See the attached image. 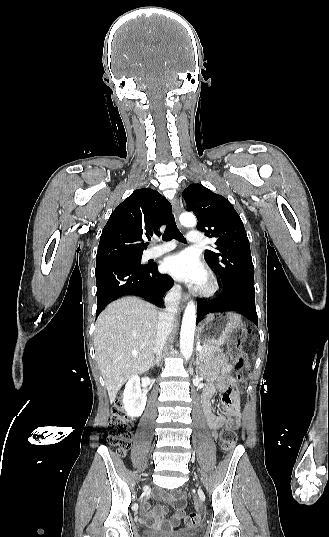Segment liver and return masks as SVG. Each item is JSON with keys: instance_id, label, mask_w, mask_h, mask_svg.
Here are the masks:
<instances>
[{"instance_id": "6515ba94", "label": "liver", "mask_w": 329, "mask_h": 537, "mask_svg": "<svg viewBox=\"0 0 329 537\" xmlns=\"http://www.w3.org/2000/svg\"><path fill=\"white\" fill-rule=\"evenodd\" d=\"M160 313L146 301L124 297L98 316L94 347L111 403L129 378L151 367Z\"/></svg>"}]
</instances>
